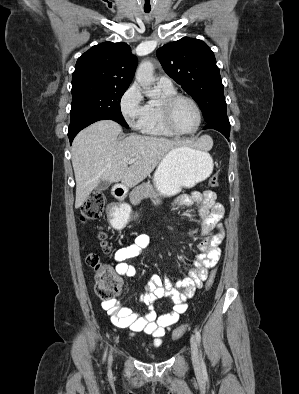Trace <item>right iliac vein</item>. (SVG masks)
I'll return each instance as SVG.
<instances>
[{
	"instance_id": "right-iliac-vein-1",
	"label": "right iliac vein",
	"mask_w": 299,
	"mask_h": 394,
	"mask_svg": "<svg viewBox=\"0 0 299 394\" xmlns=\"http://www.w3.org/2000/svg\"><path fill=\"white\" fill-rule=\"evenodd\" d=\"M111 362H112V355H110L109 357V364H111Z\"/></svg>"
}]
</instances>
